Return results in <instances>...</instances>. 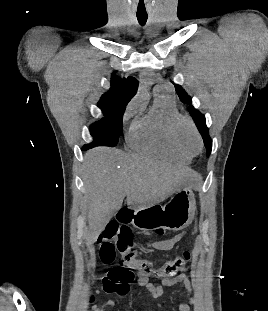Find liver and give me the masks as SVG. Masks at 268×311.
I'll return each instance as SVG.
<instances>
[{"label": "liver", "instance_id": "1", "mask_svg": "<svg viewBox=\"0 0 268 311\" xmlns=\"http://www.w3.org/2000/svg\"><path fill=\"white\" fill-rule=\"evenodd\" d=\"M82 178L86 242L92 244L121 208L125 196L128 206H151L195 180L197 174L185 166L100 147L85 153Z\"/></svg>", "mask_w": 268, "mask_h": 311}]
</instances>
